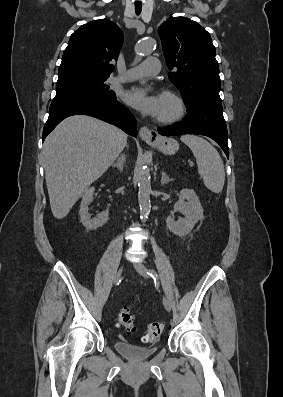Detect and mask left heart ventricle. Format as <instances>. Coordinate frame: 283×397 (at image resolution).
Wrapping results in <instances>:
<instances>
[{"mask_svg": "<svg viewBox=\"0 0 283 397\" xmlns=\"http://www.w3.org/2000/svg\"><path fill=\"white\" fill-rule=\"evenodd\" d=\"M176 110L174 101L168 97L160 96V110L157 117H165L173 114Z\"/></svg>", "mask_w": 283, "mask_h": 397, "instance_id": "obj_1", "label": "left heart ventricle"}]
</instances>
